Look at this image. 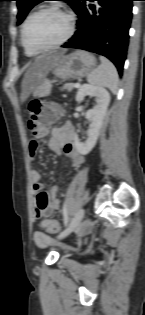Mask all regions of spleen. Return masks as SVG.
Here are the masks:
<instances>
[{
	"mask_svg": "<svg viewBox=\"0 0 145 315\" xmlns=\"http://www.w3.org/2000/svg\"><path fill=\"white\" fill-rule=\"evenodd\" d=\"M101 64L87 76V81L98 87H106L116 94L119 85V77L116 67L107 58L100 56Z\"/></svg>",
	"mask_w": 145,
	"mask_h": 315,
	"instance_id": "3e777b00",
	"label": "spleen"
}]
</instances>
